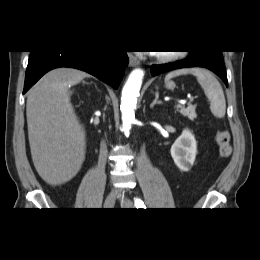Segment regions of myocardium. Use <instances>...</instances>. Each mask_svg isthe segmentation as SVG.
<instances>
[{
    "mask_svg": "<svg viewBox=\"0 0 260 260\" xmlns=\"http://www.w3.org/2000/svg\"><path fill=\"white\" fill-rule=\"evenodd\" d=\"M157 59L162 62H168L175 59V55L172 53H160L157 55Z\"/></svg>",
    "mask_w": 260,
    "mask_h": 260,
    "instance_id": "1",
    "label": "myocardium"
}]
</instances>
